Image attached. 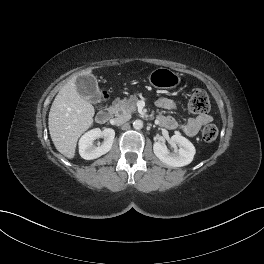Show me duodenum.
Returning a JSON list of instances; mask_svg holds the SVG:
<instances>
[{
	"instance_id": "obj_1",
	"label": "duodenum",
	"mask_w": 264,
	"mask_h": 264,
	"mask_svg": "<svg viewBox=\"0 0 264 264\" xmlns=\"http://www.w3.org/2000/svg\"><path fill=\"white\" fill-rule=\"evenodd\" d=\"M113 111L112 109H103L100 112H98L96 116V120L99 124H106L109 122V120L112 118Z\"/></svg>"
}]
</instances>
